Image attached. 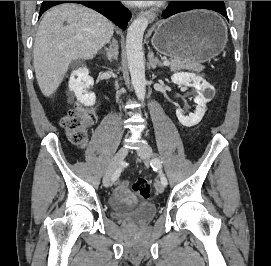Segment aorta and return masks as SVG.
Instances as JSON below:
<instances>
[{
  "label": "aorta",
  "mask_w": 271,
  "mask_h": 266,
  "mask_svg": "<svg viewBox=\"0 0 271 266\" xmlns=\"http://www.w3.org/2000/svg\"><path fill=\"white\" fill-rule=\"evenodd\" d=\"M147 26V18H137L129 26L126 36L128 68L135 94L139 100H144L146 95L145 63L142 41Z\"/></svg>",
  "instance_id": "obj_1"
}]
</instances>
